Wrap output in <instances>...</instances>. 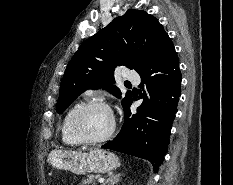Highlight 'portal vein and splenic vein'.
<instances>
[{"mask_svg":"<svg viewBox=\"0 0 233 185\" xmlns=\"http://www.w3.org/2000/svg\"><path fill=\"white\" fill-rule=\"evenodd\" d=\"M104 181H105L104 178H99V179H98V182H99V183H104Z\"/></svg>","mask_w":233,"mask_h":185,"instance_id":"1","label":"portal vein and splenic vein"}]
</instances>
